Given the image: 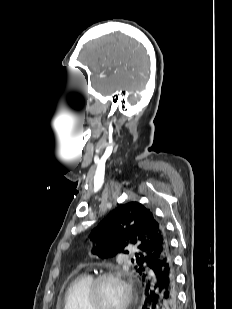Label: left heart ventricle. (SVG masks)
<instances>
[{"label": "left heart ventricle", "instance_id": "left-heart-ventricle-1", "mask_svg": "<svg viewBox=\"0 0 232 309\" xmlns=\"http://www.w3.org/2000/svg\"><path fill=\"white\" fill-rule=\"evenodd\" d=\"M101 309H122L126 302V290L116 280L102 283L99 291Z\"/></svg>", "mask_w": 232, "mask_h": 309}]
</instances>
